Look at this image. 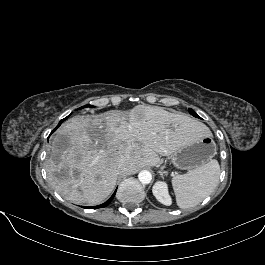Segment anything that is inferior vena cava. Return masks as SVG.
Wrapping results in <instances>:
<instances>
[{
  "label": "inferior vena cava",
  "mask_w": 265,
  "mask_h": 265,
  "mask_svg": "<svg viewBox=\"0 0 265 265\" xmlns=\"http://www.w3.org/2000/svg\"><path fill=\"white\" fill-rule=\"evenodd\" d=\"M118 167H119V170H120L121 172L125 171V169H126V163H125V161H124V160H121V161L119 162Z\"/></svg>",
  "instance_id": "602c4592"
}]
</instances>
